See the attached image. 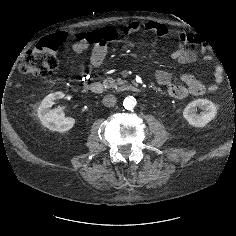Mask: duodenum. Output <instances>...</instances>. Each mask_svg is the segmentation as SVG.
<instances>
[{
	"instance_id": "1",
	"label": "duodenum",
	"mask_w": 236,
	"mask_h": 236,
	"mask_svg": "<svg viewBox=\"0 0 236 236\" xmlns=\"http://www.w3.org/2000/svg\"><path fill=\"white\" fill-rule=\"evenodd\" d=\"M88 91L94 94H102L105 91V88L102 83L100 82H91L87 86ZM119 91L121 92H138L139 88L133 84H122L119 86Z\"/></svg>"
}]
</instances>
